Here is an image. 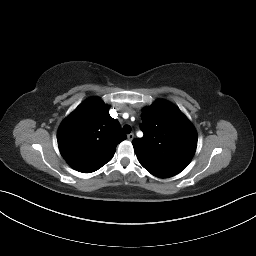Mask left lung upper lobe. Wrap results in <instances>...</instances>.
<instances>
[{"label": "left lung upper lobe", "mask_w": 256, "mask_h": 256, "mask_svg": "<svg viewBox=\"0 0 256 256\" xmlns=\"http://www.w3.org/2000/svg\"><path fill=\"white\" fill-rule=\"evenodd\" d=\"M141 119L144 136L132 141L140 164L159 178L180 173L196 150L197 133L193 125L165 100L144 108Z\"/></svg>", "instance_id": "obj_1"}]
</instances>
